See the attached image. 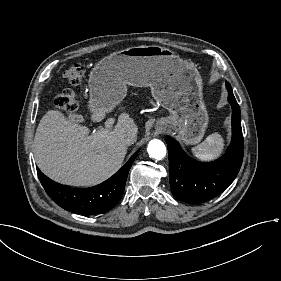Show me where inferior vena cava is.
<instances>
[{
  "instance_id": "1",
  "label": "inferior vena cava",
  "mask_w": 281,
  "mask_h": 281,
  "mask_svg": "<svg viewBox=\"0 0 281 281\" xmlns=\"http://www.w3.org/2000/svg\"><path fill=\"white\" fill-rule=\"evenodd\" d=\"M136 137L137 136L135 132L123 133L119 135L118 141L124 145H130L136 141Z\"/></svg>"
}]
</instances>
